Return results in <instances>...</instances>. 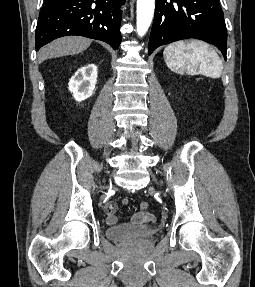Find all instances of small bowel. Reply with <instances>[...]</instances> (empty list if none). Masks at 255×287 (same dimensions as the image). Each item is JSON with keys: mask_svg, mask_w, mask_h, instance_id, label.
Masks as SVG:
<instances>
[{"mask_svg": "<svg viewBox=\"0 0 255 287\" xmlns=\"http://www.w3.org/2000/svg\"><path fill=\"white\" fill-rule=\"evenodd\" d=\"M129 200L127 198L122 199V204L127 205ZM106 209V223L110 226L117 224L118 217H117V206L115 203H108L105 207ZM158 221V218L153 213L147 211H139L131 216L129 223L130 224H146L151 223L154 224Z\"/></svg>", "mask_w": 255, "mask_h": 287, "instance_id": "1", "label": "small bowel"}]
</instances>
